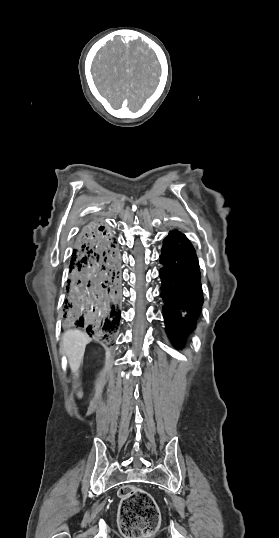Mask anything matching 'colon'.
Segmentation results:
<instances>
[{"mask_svg":"<svg viewBox=\"0 0 279 538\" xmlns=\"http://www.w3.org/2000/svg\"><path fill=\"white\" fill-rule=\"evenodd\" d=\"M119 495V527L122 534L128 538L153 535L160 523V513L152 496L130 485L123 486Z\"/></svg>","mask_w":279,"mask_h":538,"instance_id":"obj_1","label":"colon"}]
</instances>
